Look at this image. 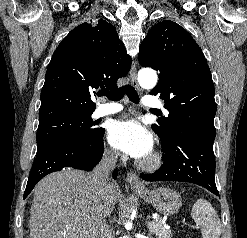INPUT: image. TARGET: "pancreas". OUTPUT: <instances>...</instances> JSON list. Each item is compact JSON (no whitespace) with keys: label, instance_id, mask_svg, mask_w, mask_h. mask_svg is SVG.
<instances>
[{"label":"pancreas","instance_id":"cf45deb5","mask_svg":"<svg viewBox=\"0 0 247 238\" xmlns=\"http://www.w3.org/2000/svg\"><path fill=\"white\" fill-rule=\"evenodd\" d=\"M150 234L155 235L158 238H171L172 232L165 227V224L161 220H153L148 225Z\"/></svg>","mask_w":247,"mask_h":238}]
</instances>
